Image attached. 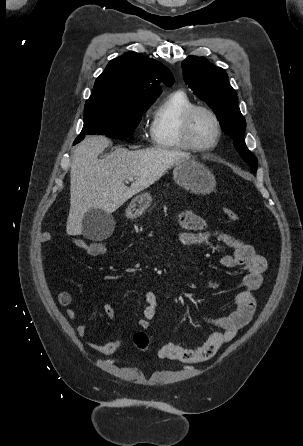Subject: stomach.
<instances>
[{"instance_id":"stomach-1","label":"stomach","mask_w":303,"mask_h":446,"mask_svg":"<svg viewBox=\"0 0 303 446\" xmlns=\"http://www.w3.org/2000/svg\"><path fill=\"white\" fill-rule=\"evenodd\" d=\"M174 181L181 187L195 194H208L216 186V180L211 171L201 163L186 159L175 164L173 170ZM152 197L149 193L137 195L126 210L128 218L142 215L150 206Z\"/></svg>"}]
</instances>
